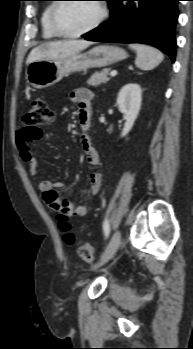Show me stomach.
Segmentation results:
<instances>
[{
    "label": "stomach",
    "instance_id": "stomach-1",
    "mask_svg": "<svg viewBox=\"0 0 193 349\" xmlns=\"http://www.w3.org/2000/svg\"><path fill=\"white\" fill-rule=\"evenodd\" d=\"M126 58V51L120 47L99 45L88 52L63 59L34 61L27 67L26 79L33 87L42 89L54 85L70 73L106 67Z\"/></svg>",
    "mask_w": 193,
    "mask_h": 349
}]
</instances>
